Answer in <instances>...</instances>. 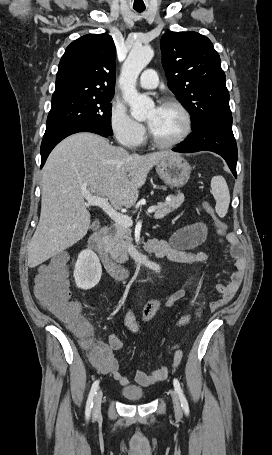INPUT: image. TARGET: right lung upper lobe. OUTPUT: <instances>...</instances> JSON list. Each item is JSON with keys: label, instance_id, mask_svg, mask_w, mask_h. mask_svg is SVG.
<instances>
[{"label": "right lung upper lobe", "instance_id": "right-lung-upper-lobe-1", "mask_svg": "<svg viewBox=\"0 0 272 455\" xmlns=\"http://www.w3.org/2000/svg\"><path fill=\"white\" fill-rule=\"evenodd\" d=\"M115 45L107 34H88L73 41L59 63L52 100L114 95Z\"/></svg>", "mask_w": 272, "mask_h": 455}]
</instances>
